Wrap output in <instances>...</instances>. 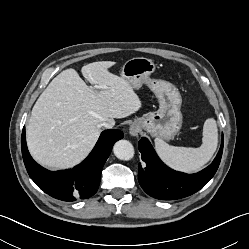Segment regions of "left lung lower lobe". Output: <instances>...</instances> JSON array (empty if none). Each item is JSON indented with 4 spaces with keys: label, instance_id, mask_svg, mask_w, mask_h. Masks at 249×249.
<instances>
[{
    "label": "left lung lower lobe",
    "instance_id": "obj_1",
    "mask_svg": "<svg viewBox=\"0 0 249 249\" xmlns=\"http://www.w3.org/2000/svg\"><path fill=\"white\" fill-rule=\"evenodd\" d=\"M138 148L146 164L145 168L139 165L138 170V180L143 190L157 199L174 200L192 195L203 188L214 176L222 156L223 138L214 161L207 168L195 174H185L167 167L144 137L139 141Z\"/></svg>",
    "mask_w": 249,
    "mask_h": 249
}]
</instances>
